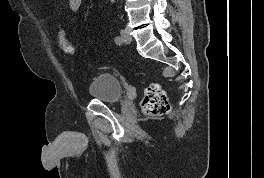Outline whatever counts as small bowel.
<instances>
[{"label": "small bowel", "mask_w": 264, "mask_h": 178, "mask_svg": "<svg viewBox=\"0 0 264 178\" xmlns=\"http://www.w3.org/2000/svg\"><path fill=\"white\" fill-rule=\"evenodd\" d=\"M70 11L76 14L81 6L82 0H67Z\"/></svg>", "instance_id": "small-bowel-1"}]
</instances>
